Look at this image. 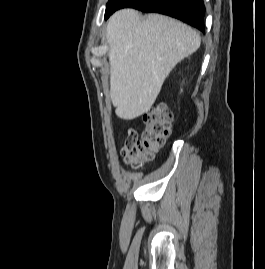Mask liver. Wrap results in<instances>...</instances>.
<instances>
[{"mask_svg": "<svg viewBox=\"0 0 265 269\" xmlns=\"http://www.w3.org/2000/svg\"><path fill=\"white\" fill-rule=\"evenodd\" d=\"M110 97L115 113L132 120L148 111L172 69L200 47L199 34L186 24L160 14L143 20L134 9L109 19Z\"/></svg>", "mask_w": 265, "mask_h": 269, "instance_id": "obj_1", "label": "liver"}]
</instances>
